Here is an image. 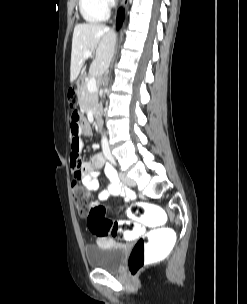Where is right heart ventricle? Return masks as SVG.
<instances>
[{
	"label": "right heart ventricle",
	"instance_id": "1",
	"mask_svg": "<svg viewBox=\"0 0 247 304\" xmlns=\"http://www.w3.org/2000/svg\"><path fill=\"white\" fill-rule=\"evenodd\" d=\"M79 10L88 23H99L108 18V10L102 6L100 0H79Z\"/></svg>",
	"mask_w": 247,
	"mask_h": 304
}]
</instances>
